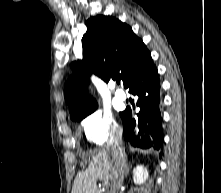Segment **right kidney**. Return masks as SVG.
<instances>
[{"mask_svg": "<svg viewBox=\"0 0 221 193\" xmlns=\"http://www.w3.org/2000/svg\"><path fill=\"white\" fill-rule=\"evenodd\" d=\"M148 179L147 168L137 165L133 170V180L135 184L141 185Z\"/></svg>", "mask_w": 221, "mask_h": 193, "instance_id": "1", "label": "right kidney"}]
</instances>
